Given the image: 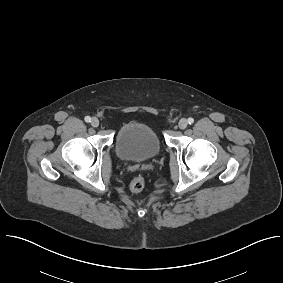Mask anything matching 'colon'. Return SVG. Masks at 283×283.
Wrapping results in <instances>:
<instances>
[{
    "label": "colon",
    "mask_w": 283,
    "mask_h": 283,
    "mask_svg": "<svg viewBox=\"0 0 283 283\" xmlns=\"http://www.w3.org/2000/svg\"><path fill=\"white\" fill-rule=\"evenodd\" d=\"M144 187H145V179L141 175L134 177L130 183V190L135 193L141 192L144 189Z\"/></svg>",
    "instance_id": "1"
}]
</instances>
